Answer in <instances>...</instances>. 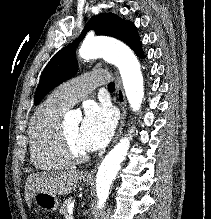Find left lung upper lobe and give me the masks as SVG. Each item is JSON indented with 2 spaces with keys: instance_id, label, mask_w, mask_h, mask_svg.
I'll return each instance as SVG.
<instances>
[{
  "instance_id": "left-lung-upper-lobe-1",
  "label": "left lung upper lobe",
  "mask_w": 211,
  "mask_h": 219,
  "mask_svg": "<svg viewBox=\"0 0 211 219\" xmlns=\"http://www.w3.org/2000/svg\"><path fill=\"white\" fill-rule=\"evenodd\" d=\"M91 29L95 30L97 35L117 38L133 50L139 45L137 29L132 22L125 21L113 13H101L92 17L85 25L80 37L57 52L45 67L35 92V105L53 88L75 75L78 70L75 58L76 46Z\"/></svg>"
}]
</instances>
